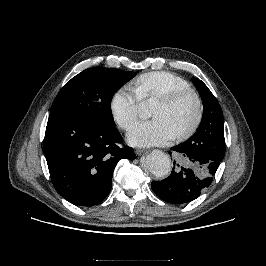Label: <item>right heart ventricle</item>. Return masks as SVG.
I'll use <instances>...</instances> for the list:
<instances>
[{
	"instance_id": "e07e8e85",
	"label": "right heart ventricle",
	"mask_w": 266,
	"mask_h": 266,
	"mask_svg": "<svg viewBox=\"0 0 266 266\" xmlns=\"http://www.w3.org/2000/svg\"><path fill=\"white\" fill-rule=\"evenodd\" d=\"M133 84L141 100H157L168 93L190 88L185 79L168 71L141 74Z\"/></svg>"
}]
</instances>
